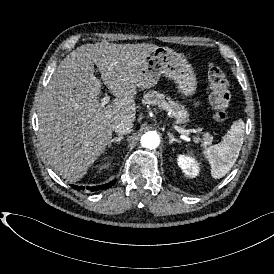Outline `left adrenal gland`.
Returning a JSON list of instances; mask_svg holds the SVG:
<instances>
[{
	"label": "left adrenal gland",
	"instance_id": "obj_1",
	"mask_svg": "<svg viewBox=\"0 0 274 274\" xmlns=\"http://www.w3.org/2000/svg\"><path fill=\"white\" fill-rule=\"evenodd\" d=\"M168 138H169V144H173V143L180 144V141L177 140L171 133H168Z\"/></svg>",
	"mask_w": 274,
	"mask_h": 274
}]
</instances>
